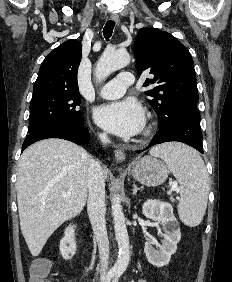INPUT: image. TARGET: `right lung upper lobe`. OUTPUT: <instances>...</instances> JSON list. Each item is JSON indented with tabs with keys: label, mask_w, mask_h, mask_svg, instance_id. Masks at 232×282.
Masks as SVG:
<instances>
[{
	"label": "right lung upper lobe",
	"mask_w": 232,
	"mask_h": 282,
	"mask_svg": "<svg viewBox=\"0 0 232 282\" xmlns=\"http://www.w3.org/2000/svg\"><path fill=\"white\" fill-rule=\"evenodd\" d=\"M82 46L76 39L64 42L42 62L33 92L46 90L78 91L77 71Z\"/></svg>",
	"instance_id": "1"
}]
</instances>
